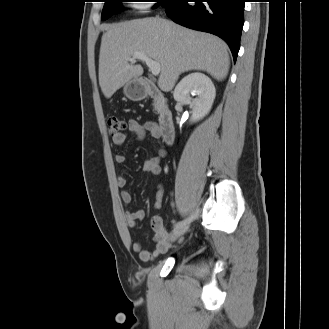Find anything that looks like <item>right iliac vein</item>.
<instances>
[{
	"label": "right iliac vein",
	"instance_id": "obj_1",
	"mask_svg": "<svg viewBox=\"0 0 329 329\" xmlns=\"http://www.w3.org/2000/svg\"><path fill=\"white\" fill-rule=\"evenodd\" d=\"M190 223H186L176 227L172 232V238L177 239L182 236L189 228Z\"/></svg>",
	"mask_w": 329,
	"mask_h": 329
}]
</instances>
